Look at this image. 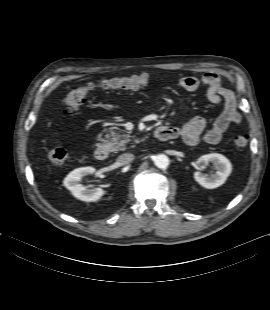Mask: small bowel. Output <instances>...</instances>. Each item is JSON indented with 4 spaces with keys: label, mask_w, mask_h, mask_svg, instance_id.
I'll list each match as a JSON object with an SVG mask.
<instances>
[{
    "label": "small bowel",
    "mask_w": 270,
    "mask_h": 310,
    "mask_svg": "<svg viewBox=\"0 0 270 310\" xmlns=\"http://www.w3.org/2000/svg\"><path fill=\"white\" fill-rule=\"evenodd\" d=\"M179 85L186 91L193 92L200 86L207 87V98L212 104H222L223 109L212 126L205 132L203 139L206 143H219L231 125L239 124L241 116L237 110L236 98L232 90L225 87L220 76L215 72H207L201 78L186 76L179 80ZM172 132V138L181 137L190 146L199 143L206 127V121L200 116L189 120L186 124L176 127L164 125Z\"/></svg>",
    "instance_id": "1"
}]
</instances>
